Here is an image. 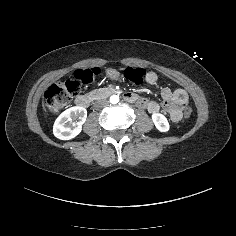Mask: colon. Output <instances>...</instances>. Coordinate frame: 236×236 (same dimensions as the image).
<instances>
[{"mask_svg":"<svg viewBox=\"0 0 236 236\" xmlns=\"http://www.w3.org/2000/svg\"><path fill=\"white\" fill-rule=\"evenodd\" d=\"M98 74L99 70L97 68L80 69L76 70L70 79L51 85L44 96L45 104L49 112L52 114L62 112L77 94L80 84L93 82ZM125 77L135 84H141L147 77V73L143 68L129 67L125 70ZM156 81L157 77L154 78V83ZM191 113V107L185 104L183 112L184 118H189Z\"/></svg>","mask_w":236,"mask_h":236,"instance_id":"5ec220e1","label":"colon"}]
</instances>
